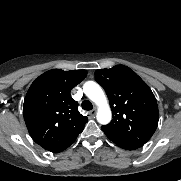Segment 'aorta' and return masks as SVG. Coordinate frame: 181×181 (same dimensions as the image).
<instances>
[{
  "mask_svg": "<svg viewBox=\"0 0 181 181\" xmlns=\"http://www.w3.org/2000/svg\"><path fill=\"white\" fill-rule=\"evenodd\" d=\"M83 90L86 96L98 106V122L101 124L109 123L111 120V110L101 87L93 81H88L84 84Z\"/></svg>",
  "mask_w": 181,
  "mask_h": 181,
  "instance_id": "aorta-1",
  "label": "aorta"
}]
</instances>
